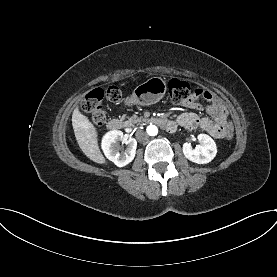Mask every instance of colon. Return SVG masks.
<instances>
[{
  "label": "colon",
  "mask_w": 277,
  "mask_h": 277,
  "mask_svg": "<svg viewBox=\"0 0 277 277\" xmlns=\"http://www.w3.org/2000/svg\"><path fill=\"white\" fill-rule=\"evenodd\" d=\"M168 92L172 101L177 104H184L196 96V90H193L188 82L179 79L169 81ZM105 95L111 101H117L121 97L120 90L117 87H110L106 92L96 88L91 90L82 101L83 111L90 116L95 125H102L106 120V113L102 104ZM235 127V122H228L225 133L226 140H234Z\"/></svg>",
  "instance_id": "5ec220e1"
}]
</instances>
